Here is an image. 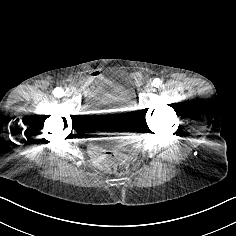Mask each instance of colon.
<instances>
[{"instance_id":"5ec220e1","label":"colon","mask_w":236,"mask_h":236,"mask_svg":"<svg viewBox=\"0 0 236 236\" xmlns=\"http://www.w3.org/2000/svg\"><path fill=\"white\" fill-rule=\"evenodd\" d=\"M114 171L118 175H124L129 171V162L126 159H118L114 164Z\"/></svg>"}]
</instances>
